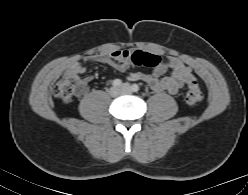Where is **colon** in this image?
<instances>
[{
	"label": "colon",
	"instance_id": "obj_1",
	"mask_svg": "<svg viewBox=\"0 0 248 195\" xmlns=\"http://www.w3.org/2000/svg\"><path fill=\"white\" fill-rule=\"evenodd\" d=\"M130 61L135 66L156 67L162 59L155 54L134 51L130 55ZM86 91L85 84L75 74H68L61 78L53 87V94L64 103H69L75 96L82 95ZM203 98L202 90L197 81H192L186 89L185 101L190 106L198 105Z\"/></svg>",
	"mask_w": 248,
	"mask_h": 195
}]
</instances>
